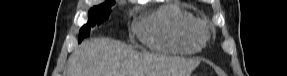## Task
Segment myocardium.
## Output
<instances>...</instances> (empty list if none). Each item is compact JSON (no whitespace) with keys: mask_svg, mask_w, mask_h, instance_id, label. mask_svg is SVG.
Masks as SVG:
<instances>
[{"mask_svg":"<svg viewBox=\"0 0 287 76\" xmlns=\"http://www.w3.org/2000/svg\"><path fill=\"white\" fill-rule=\"evenodd\" d=\"M203 31H204V33H205V28L203 27Z\"/></svg>","mask_w":287,"mask_h":76,"instance_id":"f54148a6","label":"myocardium"}]
</instances>
